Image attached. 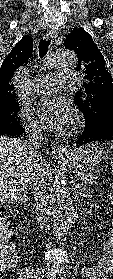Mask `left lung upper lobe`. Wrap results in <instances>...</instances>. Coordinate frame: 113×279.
I'll use <instances>...</instances> for the list:
<instances>
[{
	"label": "left lung upper lobe",
	"instance_id": "1",
	"mask_svg": "<svg viewBox=\"0 0 113 279\" xmlns=\"http://www.w3.org/2000/svg\"><path fill=\"white\" fill-rule=\"evenodd\" d=\"M64 45L77 54L76 70L85 75L83 88L75 94L74 102L83 112L85 121L95 126L101 114L113 116L112 76L105 67L102 53L84 29H74Z\"/></svg>",
	"mask_w": 113,
	"mask_h": 279
}]
</instances>
